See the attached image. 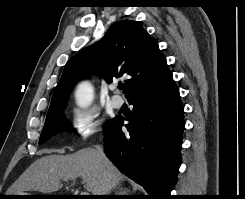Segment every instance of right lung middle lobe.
<instances>
[{
  "mask_svg": "<svg viewBox=\"0 0 245 199\" xmlns=\"http://www.w3.org/2000/svg\"><path fill=\"white\" fill-rule=\"evenodd\" d=\"M63 111L64 107L58 110L56 113L46 117L39 144L46 142L52 136L62 132L63 130L70 129V124L64 119Z\"/></svg>",
  "mask_w": 245,
  "mask_h": 199,
  "instance_id": "dd1d6c3e",
  "label": "right lung middle lobe"
}]
</instances>
